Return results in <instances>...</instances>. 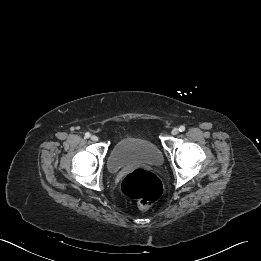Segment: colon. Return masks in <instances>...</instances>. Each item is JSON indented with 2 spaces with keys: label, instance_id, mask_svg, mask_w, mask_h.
Masks as SVG:
<instances>
[{
  "label": "colon",
  "instance_id": "obj_1",
  "mask_svg": "<svg viewBox=\"0 0 261 261\" xmlns=\"http://www.w3.org/2000/svg\"><path fill=\"white\" fill-rule=\"evenodd\" d=\"M121 190L124 195L136 199L142 209H146L161 196L163 185L153 173L136 169L123 178Z\"/></svg>",
  "mask_w": 261,
  "mask_h": 261
}]
</instances>
